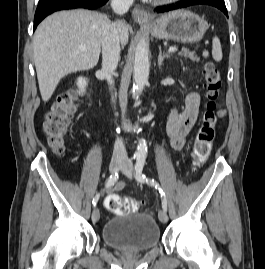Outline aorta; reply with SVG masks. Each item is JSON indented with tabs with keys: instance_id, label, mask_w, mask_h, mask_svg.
<instances>
[{
	"instance_id": "1",
	"label": "aorta",
	"mask_w": 265,
	"mask_h": 269,
	"mask_svg": "<svg viewBox=\"0 0 265 269\" xmlns=\"http://www.w3.org/2000/svg\"><path fill=\"white\" fill-rule=\"evenodd\" d=\"M149 48L144 39H141L136 46L135 60H134V76L133 89L134 94L139 96L149 77ZM147 154V144L145 140H141L137 147L136 156L138 158H145Z\"/></svg>"
}]
</instances>
